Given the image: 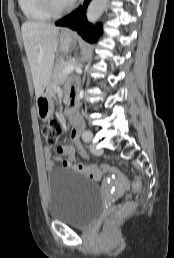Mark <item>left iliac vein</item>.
Listing matches in <instances>:
<instances>
[{
  "label": "left iliac vein",
  "mask_w": 174,
  "mask_h": 258,
  "mask_svg": "<svg viewBox=\"0 0 174 258\" xmlns=\"http://www.w3.org/2000/svg\"><path fill=\"white\" fill-rule=\"evenodd\" d=\"M90 150H91V152H92L94 155L99 156V155L102 154V150H101V149H98L94 144H92V145L90 146Z\"/></svg>",
  "instance_id": "left-iliac-vein-1"
}]
</instances>
